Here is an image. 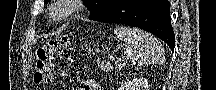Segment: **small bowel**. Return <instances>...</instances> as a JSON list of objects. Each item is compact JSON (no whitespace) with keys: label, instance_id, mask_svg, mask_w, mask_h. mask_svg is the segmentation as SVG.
<instances>
[{"label":"small bowel","instance_id":"small-bowel-1","mask_svg":"<svg viewBox=\"0 0 216 90\" xmlns=\"http://www.w3.org/2000/svg\"><path fill=\"white\" fill-rule=\"evenodd\" d=\"M76 90H97V84L94 80L79 79Z\"/></svg>","mask_w":216,"mask_h":90}]
</instances>
